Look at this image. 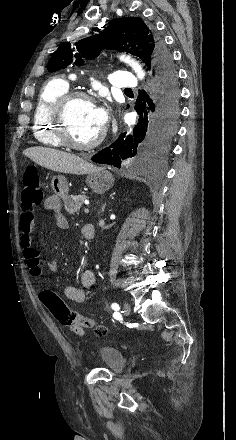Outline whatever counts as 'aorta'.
Instances as JSON below:
<instances>
[{"label":"aorta","instance_id":"762f6f07","mask_svg":"<svg viewBox=\"0 0 236 440\" xmlns=\"http://www.w3.org/2000/svg\"><path fill=\"white\" fill-rule=\"evenodd\" d=\"M120 59L132 67L139 79L142 80L144 78L145 73L142 70L141 65L137 61L131 59L130 57H125L124 55L121 56Z\"/></svg>","mask_w":236,"mask_h":440}]
</instances>
